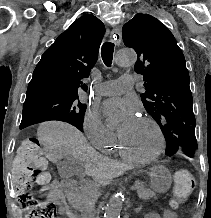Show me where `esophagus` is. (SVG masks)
I'll return each mask as SVG.
<instances>
[{"instance_id": "1", "label": "esophagus", "mask_w": 211, "mask_h": 218, "mask_svg": "<svg viewBox=\"0 0 211 218\" xmlns=\"http://www.w3.org/2000/svg\"><path fill=\"white\" fill-rule=\"evenodd\" d=\"M111 41H113L116 45H120L122 40V32L120 28H114L110 35Z\"/></svg>"}]
</instances>
